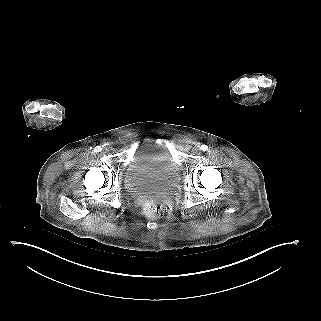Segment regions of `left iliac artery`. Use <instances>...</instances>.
Listing matches in <instances>:
<instances>
[{
    "instance_id": "44dca946",
    "label": "left iliac artery",
    "mask_w": 321,
    "mask_h": 321,
    "mask_svg": "<svg viewBox=\"0 0 321 321\" xmlns=\"http://www.w3.org/2000/svg\"><path fill=\"white\" fill-rule=\"evenodd\" d=\"M200 149H201L202 151H207L208 147H207L206 145H202V146L200 147Z\"/></svg>"
}]
</instances>
